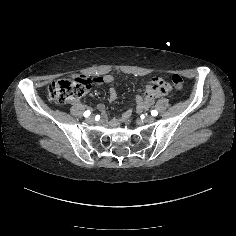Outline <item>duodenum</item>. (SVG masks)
<instances>
[{"mask_svg": "<svg viewBox=\"0 0 236 236\" xmlns=\"http://www.w3.org/2000/svg\"><path fill=\"white\" fill-rule=\"evenodd\" d=\"M157 85L166 87V85H165V84H162V83H158ZM155 94H161V92L158 91V90H156V91L150 90V91H149V94H148V97H147L146 99H141V101H140L139 103L144 102L145 100L149 99L151 96H153V95H155Z\"/></svg>", "mask_w": 236, "mask_h": 236, "instance_id": "duodenum-1", "label": "duodenum"}]
</instances>
